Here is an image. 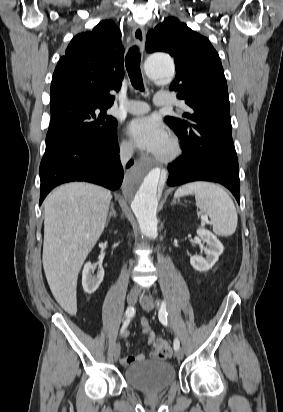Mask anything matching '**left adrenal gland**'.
I'll return each mask as SVG.
<instances>
[{"mask_svg":"<svg viewBox=\"0 0 283 412\" xmlns=\"http://www.w3.org/2000/svg\"><path fill=\"white\" fill-rule=\"evenodd\" d=\"M174 204H176V199H173V201L171 203V205H174Z\"/></svg>","mask_w":283,"mask_h":412,"instance_id":"a2214340","label":"left adrenal gland"}]
</instances>
